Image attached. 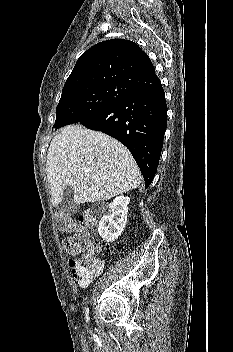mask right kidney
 Returning <instances> with one entry per match:
<instances>
[{"label":"right kidney","instance_id":"1","mask_svg":"<svg viewBox=\"0 0 233 352\" xmlns=\"http://www.w3.org/2000/svg\"><path fill=\"white\" fill-rule=\"evenodd\" d=\"M129 197L118 196L109 205V210L99 222L98 233L106 242H113L125 228L127 222Z\"/></svg>","mask_w":233,"mask_h":352}]
</instances>
